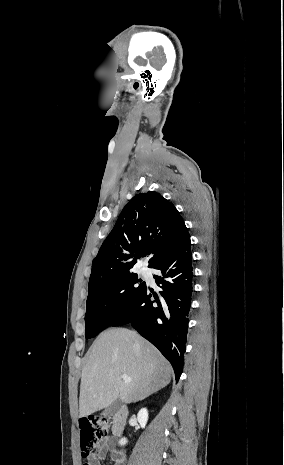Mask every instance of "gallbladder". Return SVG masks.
<instances>
[{
	"label": "gallbladder",
	"mask_w": 284,
	"mask_h": 465,
	"mask_svg": "<svg viewBox=\"0 0 284 465\" xmlns=\"http://www.w3.org/2000/svg\"><path fill=\"white\" fill-rule=\"evenodd\" d=\"M121 405L122 401H120V399H116V401L111 403V405H109V407H107V409H105L101 415H103L104 419H106V417H113V415L119 411Z\"/></svg>",
	"instance_id": "1"
}]
</instances>
